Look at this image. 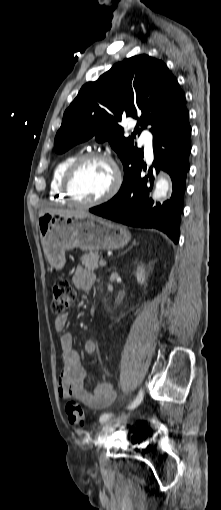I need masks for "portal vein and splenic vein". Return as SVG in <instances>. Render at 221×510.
<instances>
[{"instance_id":"1","label":"portal vein and splenic vein","mask_w":221,"mask_h":510,"mask_svg":"<svg viewBox=\"0 0 221 510\" xmlns=\"http://www.w3.org/2000/svg\"><path fill=\"white\" fill-rule=\"evenodd\" d=\"M100 265H101V266H105V265H106V261H105V260H103V259H101V260H100Z\"/></svg>"}]
</instances>
